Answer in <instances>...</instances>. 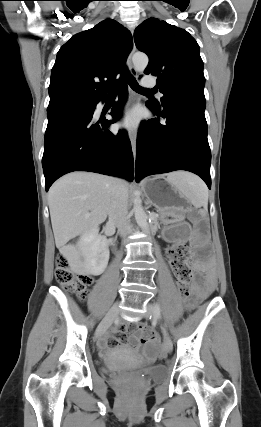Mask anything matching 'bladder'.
Listing matches in <instances>:
<instances>
[{
	"label": "bladder",
	"mask_w": 261,
	"mask_h": 427,
	"mask_svg": "<svg viewBox=\"0 0 261 427\" xmlns=\"http://www.w3.org/2000/svg\"><path fill=\"white\" fill-rule=\"evenodd\" d=\"M115 371V369L110 368V367H105L102 372L106 373V374H111ZM143 373L149 377L150 379L153 380H161L165 377L166 374V369L165 367L161 366V365H155V366H151L146 368L145 370H143Z\"/></svg>",
	"instance_id": "bladder-1"
}]
</instances>
